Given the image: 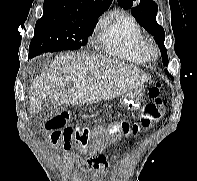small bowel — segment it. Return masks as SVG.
Segmentation results:
<instances>
[{
	"label": "small bowel",
	"mask_w": 197,
	"mask_h": 181,
	"mask_svg": "<svg viewBox=\"0 0 197 181\" xmlns=\"http://www.w3.org/2000/svg\"><path fill=\"white\" fill-rule=\"evenodd\" d=\"M82 152L86 155L84 158H81L74 153H69V157L82 168L95 169L96 174L94 176V181H98L105 172V158L100 153L90 150Z\"/></svg>",
	"instance_id": "small-bowel-1"
}]
</instances>
